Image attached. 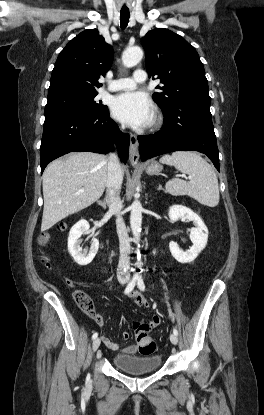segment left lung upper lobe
Masks as SVG:
<instances>
[{"mask_svg":"<svg viewBox=\"0 0 264 415\" xmlns=\"http://www.w3.org/2000/svg\"><path fill=\"white\" fill-rule=\"evenodd\" d=\"M149 76L162 86L153 100L162 111L185 99L210 100L203 63L197 51L180 35L164 28L149 31L141 40Z\"/></svg>","mask_w":264,"mask_h":415,"instance_id":"1","label":"left lung upper lobe"}]
</instances>
